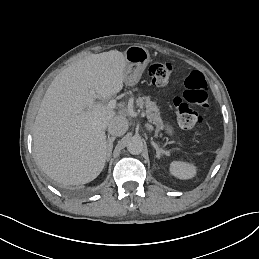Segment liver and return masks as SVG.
<instances>
[{"label": "liver", "instance_id": "liver-1", "mask_svg": "<svg viewBox=\"0 0 259 259\" xmlns=\"http://www.w3.org/2000/svg\"><path fill=\"white\" fill-rule=\"evenodd\" d=\"M125 67L126 58L117 50L90 54L51 82L33 126V152L49 177L67 185L85 184L103 170L105 130L117 113L108 99L122 90Z\"/></svg>", "mask_w": 259, "mask_h": 259}]
</instances>
